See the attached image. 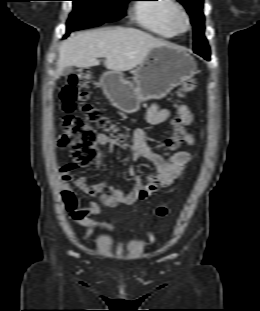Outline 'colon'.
Returning a JSON list of instances; mask_svg holds the SVG:
<instances>
[{"mask_svg": "<svg viewBox=\"0 0 260 311\" xmlns=\"http://www.w3.org/2000/svg\"><path fill=\"white\" fill-rule=\"evenodd\" d=\"M91 72L88 69H81L73 74L61 91L63 109L66 112H73L79 101L88 98V92L83 88L90 82ZM197 84L194 79H188L182 85L180 96L193 93ZM84 117L68 114L61 120L63 130L58 145L63 148H70L73 151V158L76 164L84 166L91 163L99 156L98 147L102 144L105 131L119 141L125 140V134L109 119L104 117L100 110L87 104L83 107ZM178 124V120L175 121ZM188 135L180 127L176 126L173 134L166 138L164 145L170 150H178L187 142ZM159 217L167 214L166 204H161L156 210Z\"/></svg>", "mask_w": 260, "mask_h": 311, "instance_id": "colon-1", "label": "colon"}]
</instances>
